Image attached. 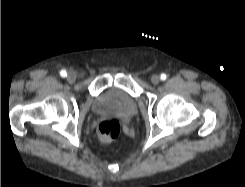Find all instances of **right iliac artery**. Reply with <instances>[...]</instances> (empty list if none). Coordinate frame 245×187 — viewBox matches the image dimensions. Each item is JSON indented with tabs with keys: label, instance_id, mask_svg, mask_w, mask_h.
Instances as JSON below:
<instances>
[{
	"label": "right iliac artery",
	"instance_id": "1",
	"mask_svg": "<svg viewBox=\"0 0 245 187\" xmlns=\"http://www.w3.org/2000/svg\"><path fill=\"white\" fill-rule=\"evenodd\" d=\"M60 75H61L62 77H66V76H67V72H66L65 70H61V71H60Z\"/></svg>",
	"mask_w": 245,
	"mask_h": 187
}]
</instances>
